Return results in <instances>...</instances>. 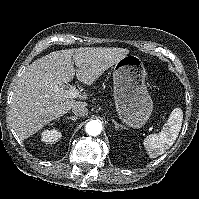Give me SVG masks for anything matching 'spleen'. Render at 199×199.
<instances>
[{"label": "spleen", "instance_id": "spleen-1", "mask_svg": "<svg viewBox=\"0 0 199 199\" xmlns=\"http://www.w3.org/2000/svg\"><path fill=\"white\" fill-rule=\"evenodd\" d=\"M182 121L183 111L180 108H175L163 129L159 133L150 134L144 139L143 144L150 158L164 154L174 144L181 130Z\"/></svg>", "mask_w": 199, "mask_h": 199}]
</instances>
